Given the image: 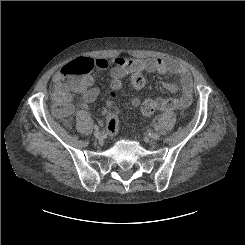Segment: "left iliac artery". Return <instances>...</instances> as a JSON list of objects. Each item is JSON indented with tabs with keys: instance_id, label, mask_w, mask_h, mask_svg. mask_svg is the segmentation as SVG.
Returning <instances> with one entry per match:
<instances>
[{
	"instance_id": "obj_1",
	"label": "left iliac artery",
	"mask_w": 245,
	"mask_h": 245,
	"mask_svg": "<svg viewBox=\"0 0 245 245\" xmlns=\"http://www.w3.org/2000/svg\"><path fill=\"white\" fill-rule=\"evenodd\" d=\"M159 128H160V127H159L158 125L155 126V130H156V131H158Z\"/></svg>"
}]
</instances>
